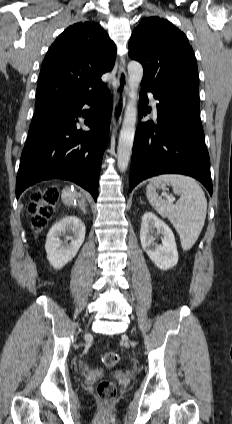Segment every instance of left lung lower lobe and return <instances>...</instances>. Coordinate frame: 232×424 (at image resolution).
<instances>
[{"label":"left lung lower lobe","instance_id":"left-lung-lower-lobe-1","mask_svg":"<svg viewBox=\"0 0 232 424\" xmlns=\"http://www.w3.org/2000/svg\"><path fill=\"white\" fill-rule=\"evenodd\" d=\"M150 91L157 104V124L137 126L130 170V191L142 180L159 174L176 173L199 180L212 195L210 159L200 121L199 95L192 93H157L141 87L139 119Z\"/></svg>","mask_w":232,"mask_h":424}]
</instances>
